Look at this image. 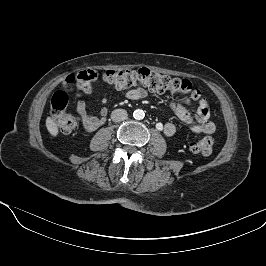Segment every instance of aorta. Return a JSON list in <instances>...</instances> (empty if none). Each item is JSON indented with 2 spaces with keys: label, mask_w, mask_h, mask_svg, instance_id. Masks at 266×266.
I'll return each instance as SVG.
<instances>
[{
  "label": "aorta",
  "mask_w": 266,
  "mask_h": 266,
  "mask_svg": "<svg viewBox=\"0 0 266 266\" xmlns=\"http://www.w3.org/2000/svg\"><path fill=\"white\" fill-rule=\"evenodd\" d=\"M145 116V113L143 110L141 109H137L133 112V117L136 119V120H142Z\"/></svg>",
  "instance_id": "762f6f07"
}]
</instances>
